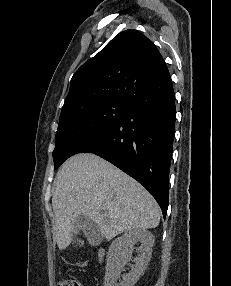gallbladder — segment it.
Here are the masks:
<instances>
[{
  "mask_svg": "<svg viewBox=\"0 0 231 286\" xmlns=\"http://www.w3.org/2000/svg\"><path fill=\"white\" fill-rule=\"evenodd\" d=\"M71 228L81 229L84 230L83 232H86L85 234H96V224L93 221L92 217H88V214L86 213H77L76 217L71 223Z\"/></svg>",
  "mask_w": 231,
  "mask_h": 286,
  "instance_id": "gallbladder-1",
  "label": "gallbladder"
}]
</instances>
